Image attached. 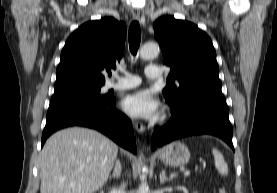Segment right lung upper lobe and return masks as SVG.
<instances>
[{
  "label": "right lung upper lobe",
  "instance_id": "obj_1",
  "mask_svg": "<svg viewBox=\"0 0 277 193\" xmlns=\"http://www.w3.org/2000/svg\"><path fill=\"white\" fill-rule=\"evenodd\" d=\"M125 39V23L113 17L81 25L62 49L54 93L102 86L103 72L116 68L124 53Z\"/></svg>",
  "mask_w": 277,
  "mask_h": 193
}]
</instances>
